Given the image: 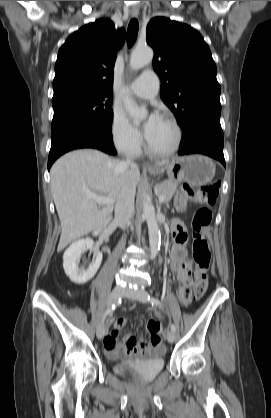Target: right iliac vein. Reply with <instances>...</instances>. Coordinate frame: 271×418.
<instances>
[{
  "instance_id": "1",
  "label": "right iliac vein",
  "mask_w": 271,
  "mask_h": 418,
  "mask_svg": "<svg viewBox=\"0 0 271 418\" xmlns=\"http://www.w3.org/2000/svg\"><path fill=\"white\" fill-rule=\"evenodd\" d=\"M122 294H123V289L119 286L115 287L110 293V296L108 299V308L114 305ZM104 334H105V323L104 321H101L97 326L96 335L98 339H102L104 337Z\"/></svg>"
}]
</instances>
